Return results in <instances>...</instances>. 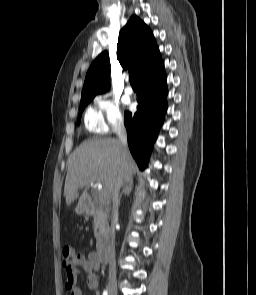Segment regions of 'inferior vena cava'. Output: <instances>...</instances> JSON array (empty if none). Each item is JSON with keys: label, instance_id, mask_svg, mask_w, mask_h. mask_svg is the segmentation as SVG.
Instances as JSON below:
<instances>
[{"label": "inferior vena cava", "instance_id": "obj_1", "mask_svg": "<svg viewBox=\"0 0 256 295\" xmlns=\"http://www.w3.org/2000/svg\"><path fill=\"white\" fill-rule=\"evenodd\" d=\"M116 134L118 136L119 142L121 144L122 155L125 156L127 153V133L123 121H120L115 128ZM126 174V164H121V171H119V176H124ZM121 186L120 180H118L112 191V224H111V245H110V272H115V229L114 224L118 217V206H119V189Z\"/></svg>", "mask_w": 256, "mask_h": 295}]
</instances>
